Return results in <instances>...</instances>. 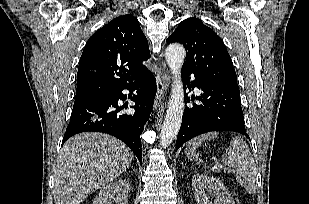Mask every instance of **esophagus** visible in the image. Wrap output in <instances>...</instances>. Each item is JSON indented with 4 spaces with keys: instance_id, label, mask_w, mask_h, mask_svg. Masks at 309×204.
I'll return each instance as SVG.
<instances>
[{
    "instance_id": "1",
    "label": "esophagus",
    "mask_w": 309,
    "mask_h": 204,
    "mask_svg": "<svg viewBox=\"0 0 309 204\" xmlns=\"http://www.w3.org/2000/svg\"><path fill=\"white\" fill-rule=\"evenodd\" d=\"M155 79L157 91L154 101V110H157V108L163 103L165 97L167 96L171 83V76L170 73L165 70V68H162L161 72L156 73Z\"/></svg>"
}]
</instances>
